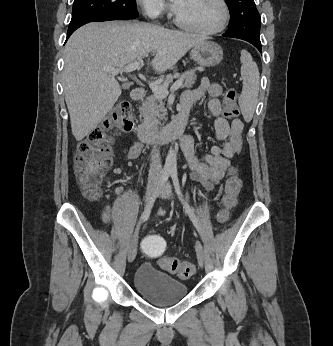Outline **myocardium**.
I'll use <instances>...</instances> for the list:
<instances>
[{
	"label": "myocardium",
	"mask_w": 333,
	"mask_h": 346,
	"mask_svg": "<svg viewBox=\"0 0 333 346\" xmlns=\"http://www.w3.org/2000/svg\"><path fill=\"white\" fill-rule=\"evenodd\" d=\"M218 2L221 5L223 15H222V20L219 23V25L214 27V28L203 29V28H199L197 26H194V25L186 22L185 20H183L179 16V14L177 13L176 10H174V21H175V23L179 27H181V28H183L185 30H188V31H192V32L198 33V34L214 35V34L220 33L227 27V25L229 23V20H230V9H229V6H228V3H227L226 0H218Z\"/></svg>",
	"instance_id": "myocardium-1"
}]
</instances>
